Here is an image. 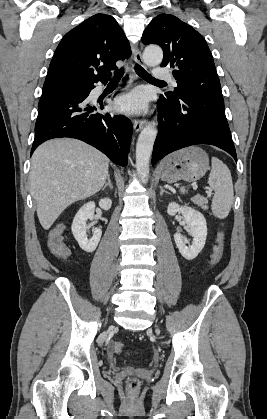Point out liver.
I'll list each match as a JSON object with an SVG mask.
<instances>
[{
  "label": "liver",
  "instance_id": "liver-1",
  "mask_svg": "<svg viewBox=\"0 0 267 419\" xmlns=\"http://www.w3.org/2000/svg\"><path fill=\"white\" fill-rule=\"evenodd\" d=\"M109 159L76 139L41 144L31 158V194L41 226L48 230L72 203L97 193L108 177Z\"/></svg>",
  "mask_w": 267,
  "mask_h": 419
}]
</instances>
